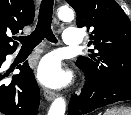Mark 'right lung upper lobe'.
<instances>
[{"mask_svg": "<svg viewBox=\"0 0 131 115\" xmlns=\"http://www.w3.org/2000/svg\"><path fill=\"white\" fill-rule=\"evenodd\" d=\"M34 16L33 0H0V58L16 50L18 43L10 45V35L31 24Z\"/></svg>", "mask_w": 131, "mask_h": 115, "instance_id": "obj_1", "label": "right lung upper lobe"}]
</instances>
